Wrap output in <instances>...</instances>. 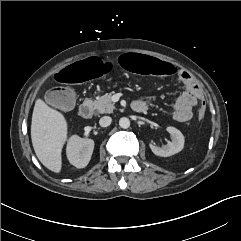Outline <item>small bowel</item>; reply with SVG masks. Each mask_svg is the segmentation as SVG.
<instances>
[{"label":"small bowel","mask_w":241,"mask_h":241,"mask_svg":"<svg viewBox=\"0 0 241 241\" xmlns=\"http://www.w3.org/2000/svg\"><path fill=\"white\" fill-rule=\"evenodd\" d=\"M178 78L185 85L186 90L175 100L173 117L180 123H185L192 118V109L202 99V88L195 77L187 70L180 69ZM143 103L146 107L150 102L148 98L136 100Z\"/></svg>","instance_id":"1"}]
</instances>
